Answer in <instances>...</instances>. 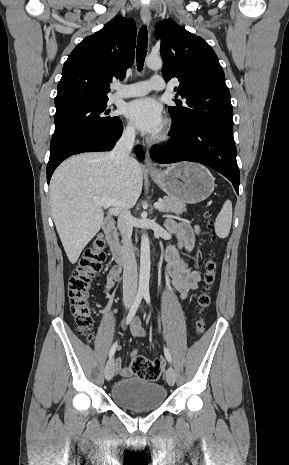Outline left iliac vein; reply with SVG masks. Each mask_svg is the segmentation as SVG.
Instances as JSON below:
<instances>
[{
  "label": "left iliac vein",
  "instance_id": "obj_1",
  "mask_svg": "<svg viewBox=\"0 0 289 465\" xmlns=\"http://www.w3.org/2000/svg\"><path fill=\"white\" fill-rule=\"evenodd\" d=\"M166 380L168 382V384L170 386H173L175 384V381H176V373L173 369V367H168L167 371H166Z\"/></svg>",
  "mask_w": 289,
  "mask_h": 465
}]
</instances>
